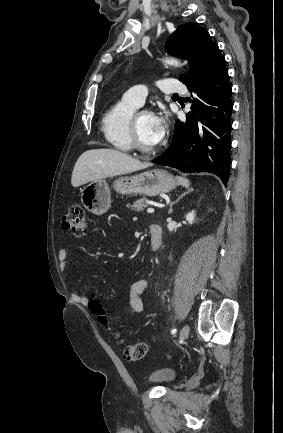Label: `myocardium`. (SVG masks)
I'll list each match as a JSON object with an SVG mask.
<instances>
[{
	"label": "myocardium",
	"instance_id": "f54148a6",
	"mask_svg": "<svg viewBox=\"0 0 283 433\" xmlns=\"http://www.w3.org/2000/svg\"><path fill=\"white\" fill-rule=\"evenodd\" d=\"M142 113L151 114L149 111H142L136 114L135 116H133L131 120V126H130L132 148L141 154H149L151 153V151H147L146 149L143 148V144L140 141L139 134H138V117Z\"/></svg>",
	"mask_w": 283,
	"mask_h": 433
}]
</instances>
